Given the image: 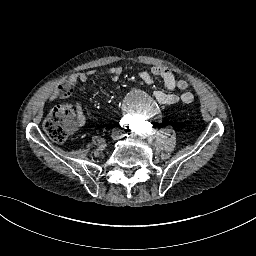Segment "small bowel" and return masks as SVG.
Here are the masks:
<instances>
[{
    "label": "small bowel",
    "mask_w": 256,
    "mask_h": 256,
    "mask_svg": "<svg viewBox=\"0 0 256 256\" xmlns=\"http://www.w3.org/2000/svg\"><path fill=\"white\" fill-rule=\"evenodd\" d=\"M108 73L113 81H118L120 77L123 74V68L121 66H114L111 68H108L106 71ZM97 74V71L95 70H90L87 72H78L76 74H73L70 77V81L72 83H77V82H87L91 76H95ZM141 80L148 84L151 85L153 83V78L158 77L163 81V84L165 88L168 90L163 91V90H157L154 93V96L156 100L163 105H171L177 103L179 100H181L185 104H190L194 100V94L191 91H184L180 96H178L175 93H172L174 89H176V77L174 73L163 66H155L151 69L150 72L148 71H142L139 74ZM57 98V92L54 91L51 95V99H56ZM76 108L79 113H81V105L79 103H76Z\"/></svg>",
    "instance_id": "c3829d8e"
}]
</instances>
